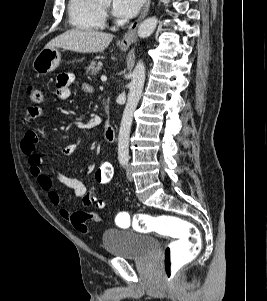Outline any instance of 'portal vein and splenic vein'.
Returning <instances> with one entry per match:
<instances>
[{
	"label": "portal vein and splenic vein",
	"mask_w": 267,
	"mask_h": 301,
	"mask_svg": "<svg viewBox=\"0 0 267 301\" xmlns=\"http://www.w3.org/2000/svg\"><path fill=\"white\" fill-rule=\"evenodd\" d=\"M101 81H102V82L107 81V77H106L105 75H102V76H101Z\"/></svg>",
	"instance_id": "portal-vein-and-splenic-vein-1"
}]
</instances>
